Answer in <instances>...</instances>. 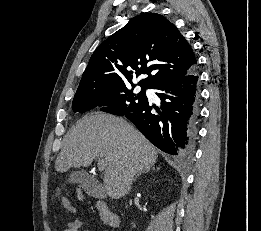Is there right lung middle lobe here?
I'll return each mask as SVG.
<instances>
[{
	"label": "right lung middle lobe",
	"instance_id": "obj_1",
	"mask_svg": "<svg viewBox=\"0 0 261 231\" xmlns=\"http://www.w3.org/2000/svg\"><path fill=\"white\" fill-rule=\"evenodd\" d=\"M132 87L134 88V85ZM145 89L142 88L140 93L135 94L126 85L78 95L73 99L72 108L74 112L84 113L96 106H105L101 108L102 111L123 116L147 102Z\"/></svg>",
	"mask_w": 261,
	"mask_h": 231
}]
</instances>
